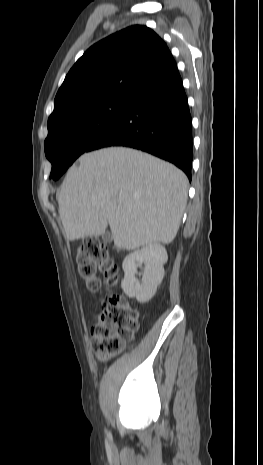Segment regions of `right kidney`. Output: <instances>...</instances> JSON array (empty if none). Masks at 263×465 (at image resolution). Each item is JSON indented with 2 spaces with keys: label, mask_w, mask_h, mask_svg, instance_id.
Listing matches in <instances>:
<instances>
[{
  "label": "right kidney",
  "mask_w": 263,
  "mask_h": 465,
  "mask_svg": "<svg viewBox=\"0 0 263 465\" xmlns=\"http://www.w3.org/2000/svg\"><path fill=\"white\" fill-rule=\"evenodd\" d=\"M167 259L166 249L160 244H152L128 254L122 263L124 278L121 286L123 291L129 297H136L140 303L149 301L163 280V266ZM143 264L145 268L140 283L135 275L137 267Z\"/></svg>",
  "instance_id": "1"
}]
</instances>
